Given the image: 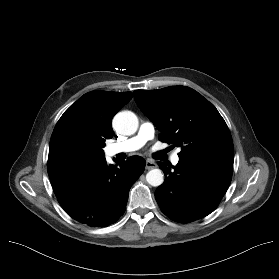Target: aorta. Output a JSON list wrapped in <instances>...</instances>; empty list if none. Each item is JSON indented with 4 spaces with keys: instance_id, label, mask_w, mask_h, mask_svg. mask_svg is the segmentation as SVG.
Listing matches in <instances>:
<instances>
[{
    "instance_id": "1",
    "label": "aorta",
    "mask_w": 279,
    "mask_h": 279,
    "mask_svg": "<svg viewBox=\"0 0 279 279\" xmlns=\"http://www.w3.org/2000/svg\"><path fill=\"white\" fill-rule=\"evenodd\" d=\"M113 126L116 132L122 135H132L138 129V118L131 111H122L114 117ZM146 181L151 186H160L164 181L162 171L160 169L150 170L146 174Z\"/></svg>"
}]
</instances>
